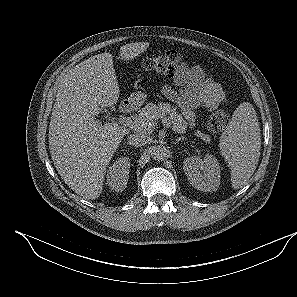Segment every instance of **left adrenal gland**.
Segmentation results:
<instances>
[{
    "instance_id": "1",
    "label": "left adrenal gland",
    "mask_w": 297,
    "mask_h": 297,
    "mask_svg": "<svg viewBox=\"0 0 297 297\" xmlns=\"http://www.w3.org/2000/svg\"><path fill=\"white\" fill-rule=\"evenodd\" d=\"M181 140H184V137H182V138H177L176 143L178 144Z\"/></svg>"
}]
</instances>
